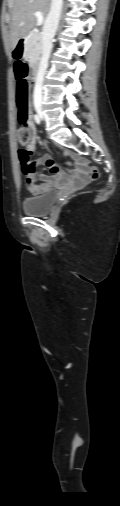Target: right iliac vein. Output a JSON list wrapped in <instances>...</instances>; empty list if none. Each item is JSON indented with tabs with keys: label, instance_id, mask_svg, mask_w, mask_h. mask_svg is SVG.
<instances>
[{
	"label": "right iliac vein",
	"instance_id": "obj_1",
	"mask_svg": "<svg viewBox=\"0 0 120 506\" xmlns=\"http://www.w3.org/2000/svg\"><path fill=\"white\" fill-rule=\"evenodd\" d=\"M35 107H36L37 112L43 118L44 116H43V112H42L41 106L39 104H37Z\"/></svg>",
	"mask_w": 120,
	"mask_h": 506
}]
</instances>
